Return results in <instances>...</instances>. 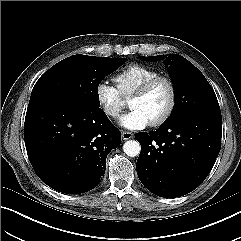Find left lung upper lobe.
Here are the masks:
<instances>
[{"mask_svg": "<svg viewBox=\"0 0 241 241\" xmlns=\"http://www.w3.org/2000/svg\"><path fill=\"white\" fill-rule=\"evenodd\" d=\"M162 57L163 55L140 58L157 61ZM166 64L175 90V105L165 122H171L188 113H220L215 92L198 68L178 54L169 55Z\"/></svg>", "mask_w": 241, "mask_h": 241, "instance_id": "5c2ea615", "label": "left lung upper lobe"}]
</instances>
